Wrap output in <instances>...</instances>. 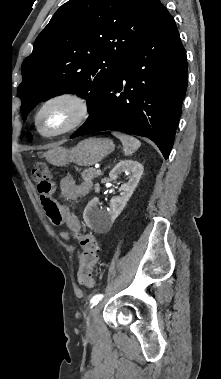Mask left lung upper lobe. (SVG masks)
Masks as SVG:
<instances>
[{
	"mask_svg": "<svg viewBox=\"0 0 221 379\" xmlns=\"http://www.w3.org/2000/svg\"><path fill=\"white\" fill-rule=\"evenodd\" d=\"M159 0H69L35 40L22 63L21 113L42 100L75 93L88 111L105 83L154 28ZM29 139H32L30 133Z\"/></svg>",
	"mask_w": 221,
	"mask_h": 379,
	"instance_id": "1",
	"label": "left lung upper lobe"
}]
</instances>
